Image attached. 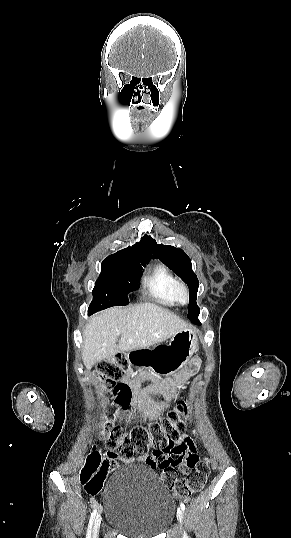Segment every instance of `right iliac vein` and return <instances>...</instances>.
I'll return each instance as SVG.
<instances>
[{
    "mask_svg": "<svg viewBox=\"0 0 291 538\" xmlns=\"http://www.w3.org/2000/svg\"><path fill=\"white\" fill-rule=\"evenodd\" d=\"M101 521H102V516H101L100 513H98L96 518H95V521H94V526H93V531H92V538H97Z\"/></svg>",
    "mask_w": 291,
    "mask_h": 538,
    "instance_id": "63e3f726",
    "label": "right iliac vein"
}]
</instances>
